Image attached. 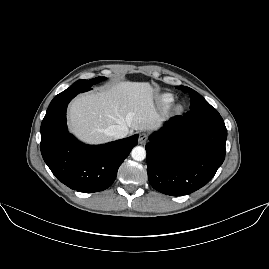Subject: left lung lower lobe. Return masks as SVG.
I'll return each mask as SVG.
<instances>
[{"mask_svg":"<svg viewBox=\"0 0 269 269\" xmlns=\"http://www.w3.org/2000/svg\"><path fill=\"white\" fill-rule=\"evenodd\" d=\"M226 139L227 130L220 115L171 118L146 144L150 184L171 196L200 189L223 163Z\"/></svg>","mask_w":269,"mask_h":269,"instance_id":"1","label":"left lung lower lobe"}]
</instances>
